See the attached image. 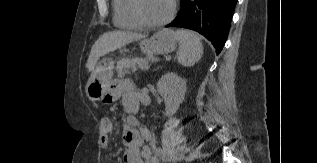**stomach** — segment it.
Returning a JSON list of instances; mask_svg holds the SVG:
<instances>
[{"label":"stomach","mask_w":317,"mask_h":163,"mask_svg":"<svg viewBox=\"0 0 317 163\" xmlns=\"http://www.w3.org/2000/svg\"><path fill=\"white\" fill-rule=\"evenodd\" d=\"M177 35L173 30L162 29L152 37L145 38L139 43L141 52L146 55L166 54L173 52L177 46ZM113 75V65L100 62L89 78L86 85L87 97L95 102L102 101L109 89Z\"/></svg>","instance_id":"1"}]
</instances>
